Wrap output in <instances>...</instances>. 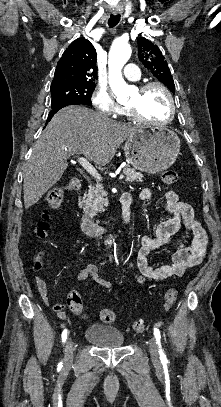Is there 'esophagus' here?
<instances>
[{"instance_id": "1", "label": "esophagus", "mask_w": 221, "mask_h": 407, "mask_svg": "<svg viewBox=\"0 0 221 407\" xmlns=\"http://www.w3.org/2000/svg\"><path fill=\"white\" fill-rule=\"evenodd\" d=\"M118 13H119L118 11H114V12H113V14H115V15L118 14Z\"/></svg>"}]
</instances>
